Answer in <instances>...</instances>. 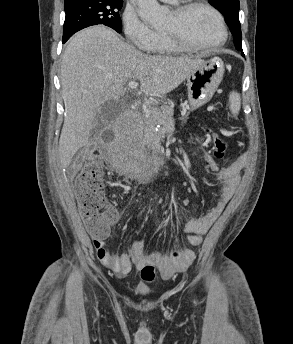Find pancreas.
<instances>
[{
	"label": "pancreas",
	"instance_id": "pancreas-1",
	"mask_svg": "<svg viewBox=\"0 0 293 344\" xmlns=\"http://www.w3.org/2000/svg\"><path fill=\"white\" fill-rule=\"evenodd\" d=\"M172 115L173 111L168 105H162L160 108L149 107L143 112L137 130H122L120 132V138L132 139L135 134L141 135L145 132L154 131L157 124H171L173 122Z\"/></svg>",
	"mask_w": 293,
	"mask_h": 344
}]
</instances>
